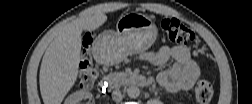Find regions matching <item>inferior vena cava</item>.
Instances as JSON below:
<instances>
[{"label":"inferior vena cava","instance_id":"inferior-vena-cava-1","mask_svg":"<svg viewBox=\"0 0 252 104\" xmlns=\"http://www.w3.org/2000/svg\"><path fill=\"white\" fill-rule=\"evenodd\" d=\"M123 96H122V93L120 91L119 88H116L113 92H112V99L119 103L121 100H122Z\"/></svg>","mask_w":252,"mask_h":104}]
</instances>
